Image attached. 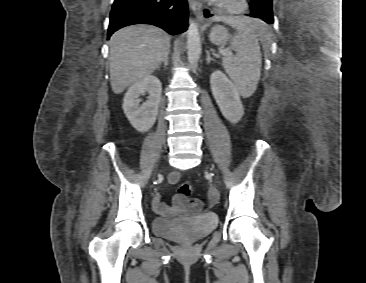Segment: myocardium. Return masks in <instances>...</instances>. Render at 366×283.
<instances>
[{
	"mask_svg": "<svg viewBox=\"0 0 366 283\" xmlns=\"http://www.w3.org/2000/svg\"><path fill=\"white\" fill-rule=\"evenodd\" d=\"M218 7L228 14H240L247 10V0H219Z\"/></svg>",
	"mask_w": 366,
	"mask_h": 283,
	"instance_id": "f54148a6",
	"label": "myocardium"
}]
</instances>
